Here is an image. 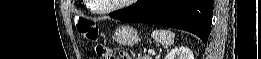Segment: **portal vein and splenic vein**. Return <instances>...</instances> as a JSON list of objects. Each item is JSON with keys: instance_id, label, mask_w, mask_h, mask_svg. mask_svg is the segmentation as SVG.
<instances>
[{"instance_id": "1", "label": "portal vein and splenic vein", "mask_w": 261, "mask_h": 59, "mask_svg": "<svg viewBox=\"0 0 261 59\" xmlns=\"http://www.w3.org/2000/svg\"><path fill=\"white\" fill-rule=\"evenodd\" d=\"M150 54H155L154 50H149Z\"/></svg>"}]
</instances>
